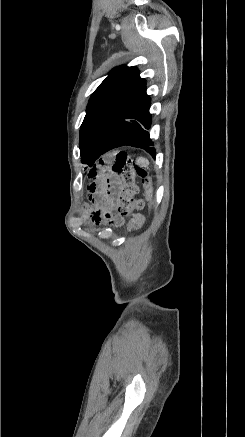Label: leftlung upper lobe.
<instances>
[{
	"label": "left lung upper lobe",
	"mask_w": 245,
	"mask_h": 437,
	"mask_svg": "<svg viewBox=\"0 0 245 437\" xmlns=\"http://www.w3.org/2000/svg\"><path fill=\"white\" fill-rule=\"evenodd\" d=\"M145 84L136 67L120 66L93 92L80 128L82 163L91 167L99 158L108 133Z\"/></svg>",
	"instance_id": "obj_1"
}]
</instances>
